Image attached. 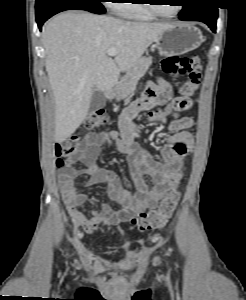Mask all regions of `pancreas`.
<instances>
[{"label": "pancreas", "instance_id": "obj_1", "mask_svg": "<svg viewBox=\"0 0 246 300\" xmlns=\"http://www.w3.org/2000/svg\"><path fill=\"white\" fill-rule=\"evenodd\" d=\"M152 64L151 57L140 58L134 66L129 69L126 74L117 83L115 90L120 98L127 97L136 88V85L141 77H143Z\"/></svg>", "mask_w": 246, "mask_h": 300}]
</instances>
